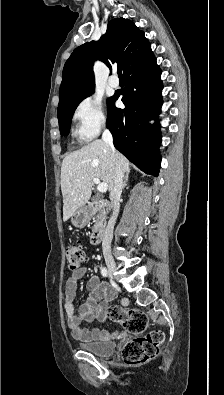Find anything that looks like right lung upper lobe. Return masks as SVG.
Segmentation results:
<instances>
[{
    "mask_svg": "<svg viewBox=\"0 0 224 395\" xmlns=\"http://www.w3.org/2000/svg\"><path fill=\"white\" fill-rule=\"evenodd\" d=\"M151 50L144 32L133 22L115 18L108 23L107 31L99 41H91L77 47L63 69L58 109L73 98L94 89L93 63L99 59L111 70L118 63L125 72L134 62Z\"/></svg>",
    "mask_w": 224,
    "mask_h": 395,
    "instance_id": "cb5924a9",
    "label": "right lung upper lobe"
}]
</instances>
